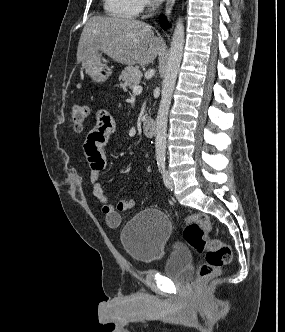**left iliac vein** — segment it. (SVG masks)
<instances>
[{"label": "left iliac vein", "instance_id": "left-iliac-vein-1", "mask_svg": "<svg viewBox=\"0 0 285 332\" xmlns=\"http://www.w3.org/2000/svg\"><path fill=\"white\" fill-rule=\"evenodd\" d=\"M163 181H164V184L165 186L168 188V189H172L174 187V183H173V180L172 178L170 177V174L168 171H165L164 174H163Z\"/></svg>", "mask_w": 285, "mask_h": 332}]
</instances>
